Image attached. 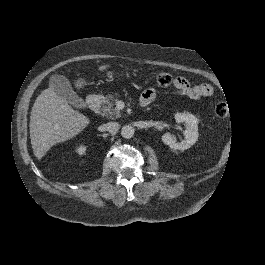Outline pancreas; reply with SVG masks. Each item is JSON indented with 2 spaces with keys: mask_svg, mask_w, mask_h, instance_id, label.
Instances as JSON below:
<instances>
[{
  "mask_svg": "<svg viewBox=\"0 0 265 265\" xmlns=\"http://www.w3.org/2000/svg\"><path fill=\"white\" fill-rule=\"evenodd\" d=\"M119 97L120 95L118 93L105 96L101 108L104 116H107L110 119L118 118L120 116V112L115 107V104L119 101Z\"/></svg>",
  "mask_w": 265,
  "mask_h": 265,
  "instance_id": "1",
  "label": "pancreas"
}]
</instances>
